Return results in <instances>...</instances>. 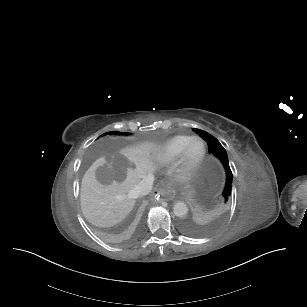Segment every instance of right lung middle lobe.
Segmentation results:
<instances>
[{"mask_svg": "<svg viewBox=\"0 0 307 307\" xmlns=\"http://www.w3.org/2000/svg\"><path fill=\"white\" fill-rule=\"evenodd\" d=\"M110 133H116V134H127V133H119V132H110ZM106 134V133H105ZM103 134V135H105Z\"/></svg>", "mask_w": 307, "mask_h": 307, "instance_id": "right-lung-middle-lobe-1", "label": "right lung middle lobe"}]
</instances>
